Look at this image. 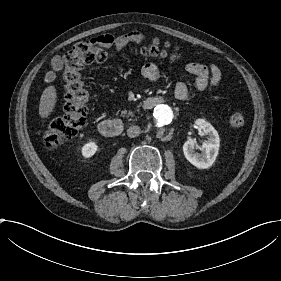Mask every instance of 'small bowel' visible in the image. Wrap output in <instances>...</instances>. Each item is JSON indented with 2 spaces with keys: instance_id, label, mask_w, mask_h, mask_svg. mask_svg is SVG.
I'll list each match as a JSON object with an SVG mask.
<instances>
[{
  "instance_id": "c3829d8e",
  "label": "small bowel",
  "mask_w": 281,
  "mask_h": 281,
  "mask_svg": "<svg viewBox=\"0 0 281 281\" xmlns=\"http://www.w3.org/2000/svg\"><path fill=\"white\" fill-rule=\"evenodd\" d=\"M141 36L136 32H127L118 34L111 38H105L103 40L104 45H113L116 49H122L126 44L130 42H140ZM63 68V62L59 57H55L52 60V70L48 72L47 79L52 81L58 71ZM186 71L192 76L190 81H180L174 88V94L156 97L157 104L164 103L166 100L172 102L175 99L178 101H187L190 97V89L204 90L213 89L217 86L219 80V70L214 64L208 66L198 63H189L186 65ZM143 75L152 83L157 82L160 79V72L154 63H146L143 66Z\"/></svg>"
}]
</instances>
